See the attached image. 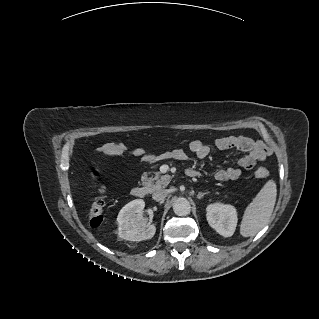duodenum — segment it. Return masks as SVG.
I'll list each match as a JSON object with an SVG mask.
<instances>
[{"label":"duodenum","instance_id":"obj_1","mask_svg":"<svg viewBox=\"0 0 319 319\" xmlns=\"http://www.w3.org/2000/svg\"><path fill=\"white\" fill-rule=\"evenodd\" d=\"M186 174L189 176V177H197L199 174L197 171L195 170H188L186 172ZM132 196H134L135 198H144L145 195H146V190H145V187L143 186H135L132 191Z\"/></svg>","mask_w":319,"mask_h":319}]
</instances>
